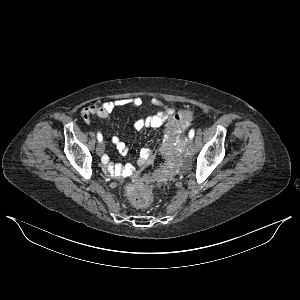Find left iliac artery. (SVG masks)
I'll list each match as a JSON object with an SVG mask.
<instances>
[{"label":"left iliac artery","instance_id":"44dca946","mask_svg":"<svg viewBox=\"0 0 300 300\" xmlns=\"http://www.w3.org/2000/svg\"><path fill=\"white\" fill-rule=\"evenodd\" d=\"M195 131L194 129H191L189 132V138L192 139L194 137Z\"/></svg>","mask_w":300,"mask_h":300}]
</instances>
